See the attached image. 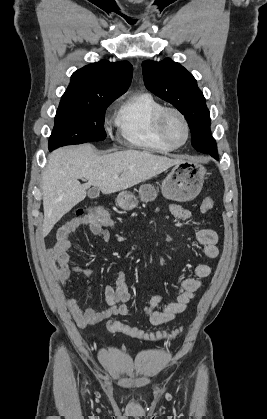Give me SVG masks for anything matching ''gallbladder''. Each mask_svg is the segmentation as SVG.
Masks as SVG:
<instances>
[{
    "mask_svg": "<svg viewBox=\"0 0 267 419\" xmlns=\"http://www.w3.org/2000/svg\"><path fill=\"white\" fill-rule=\"evenodd\" d=\"M100 190L97 187H93L88 191V196L91 199L97 198L99 196Z\"/></svg>",
    "mask_w": 267,
    "mask_h": 419,
    "instance_id": "1",
    "label": "gallbladder"
}]
</instances>
